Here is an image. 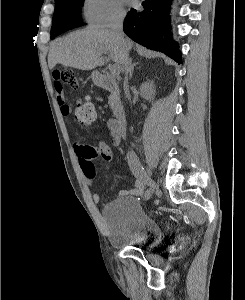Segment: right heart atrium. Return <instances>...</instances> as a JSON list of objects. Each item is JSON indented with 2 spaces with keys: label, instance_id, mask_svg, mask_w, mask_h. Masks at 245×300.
<instances>
[{
  "label": "right heart atrium",
  "instance_id": "right-heart-atrium-1",
  "mask_svg": "<svg viewBox=\"0 0 245 300\" xmlns=\"http://www.w3.org/2000/svg\"><path fill=\"white\" fill-rule=\"evenodd\" d=\"M81 9L84 20L96 27L117 23L126 14L122 0H83Z\"/></svg>",
  "mask_w": 245,
  "mask_h": 300
}]
</instances>
